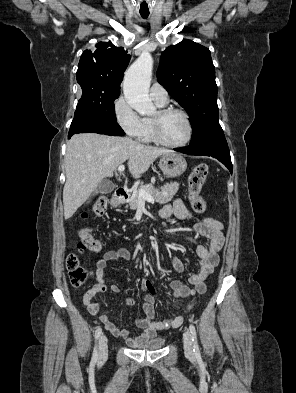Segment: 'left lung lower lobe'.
I'll return each instance as SVG.
<instances>
[{"label":"left lung lower lobe","mask_w":296,"mask_h":393,"mask_svg":"<svg viewBox=\"0 0 296 393\" xmlns=\"http://www.w3.org/2000/svg\"><path fill=\"white\" fill-rule=\"evenodd\" d=\"M175 151L190 155L212 156L222 162L232 174V163L230 152L225 136L217 137L204 143L175 148Z\"/></svg>","instance_id":"left-lung-lower-lobe-1"}]
</instances>
